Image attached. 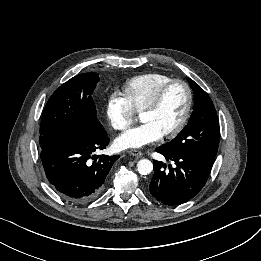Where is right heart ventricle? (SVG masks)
Returning <instances> with one entry per match:
<instances>
[{
    "label": "right heart ventricle",
    "instance_id": "right-heart-ventricle-1",
    "mask_svg": "<svg viewBox=\"0 0 261 261\" xmlns=\"http://www.w3.org/2000/svg\"><path fill=\"white\" fill-rule=\"evenodd\" d=\"M172 78L162 73H145L135 76L123 85V94L134 111L142 112L158 91Z\"/></svg>",
    "mask_w": 261,
    "mask_h": 261
}]
</instances>
